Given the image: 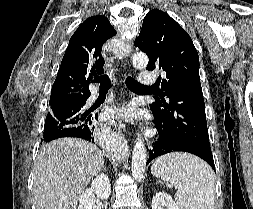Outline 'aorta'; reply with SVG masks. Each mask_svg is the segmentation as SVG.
I'll return each mask as SVG.
<instances>
[{"label":"aorta","instance_id":"aorta-1","mask_svg":"<svg viewBox=\"0 0 253 209\" xmlns=\"http://www.w3.org/2000/svg\"><path fill=\"white\" fill-rule=\"evenodd\" d=\"M148 64V57L144 53H136L133 56V65L138 69L146 68ZM113 150L117 151L115 145ZM146 148L141 137L135 141L132 152V177L136 181H141L146 168Z\"/></svg>","mask_w":253,"mask_h":209}]
</instances>
